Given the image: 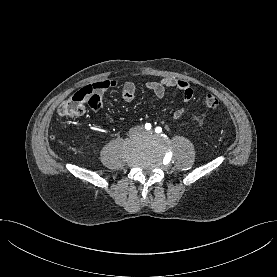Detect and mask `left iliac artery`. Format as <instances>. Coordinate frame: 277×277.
Here are the masks:
<instances>
[{
  "mask_svg": "<svg viewBox=\"0 0 277 277\" xmlns=\"http://www.w3.org/2000/svg\"><path fill=\"white\" fill-rule=\"evenodd\" d=\"M155 132L158 133V134L161 133V132H162V128L159 127V126L156 127V128H155Z\"/></svg>",
  "mask_w": 277,
  "mask_h": 277,
  "instance_id": "obj_1",
  "label": "left iliac artery"
}]
</instances>
